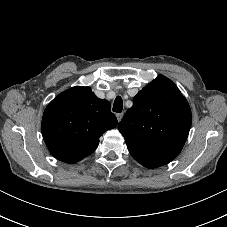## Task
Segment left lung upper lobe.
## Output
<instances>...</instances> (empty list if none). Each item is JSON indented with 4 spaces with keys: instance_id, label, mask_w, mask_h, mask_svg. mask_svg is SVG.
<instances>
[{
    "instance_id": "1",
    "label": "left lung upper lobe",
    "mask_w": 227,
    "mask_h": 227,
    "mask_svg": "<svg viewBox=\"0 0 227 227\" xmlns=\"http://www.w3.org/2000/svg\"><path fill=\"white\" fill-rule=\"evenodd\" d=\"M191 119L185 97L171 80L159 75L134 97L118 129L130 154L143 166L157 168L179 155Z\"/></svg>"
}]
</instances>
